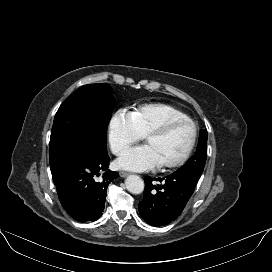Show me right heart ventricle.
<instances>
[{"mask_svg": "<svg viewBox=\"0 0 272 272\" xmlns=\"http://www.w3.org/2000/svg\"><path fill=\"white\" fill-rule=\"evenodd\" d=\"M135 124L142 135L172 119H187L189 116L179 108L166 103H150L132 112Z\"/></svg>", "mask_w": 272, "mask_h": 272, "instance_id": "1", "label": "right heart ventricle"}]
</instances>
